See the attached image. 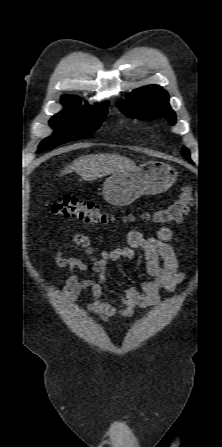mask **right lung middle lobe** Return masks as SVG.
Listing matches in <instances>:
<instances>
[{"label":"right lung middle lobe","instance_id":"obj_1","mask_svg":"<svg viewBox=\"0 0 222 447\" xmlns=\"http://www.w3.org/2000/svg\"><path fill=\"white\" fill-rule=\"evenodd\" d=\"M65 109L54 115L50 126L58 130L56 136L47 138L39 145L38 152L52 149L70 140L84 138L96 131L107 113L108 102L98 105V110L83 107L78 98L63 97Z\"/></svg>","mask_w":222,"mask_h":447}]
</instances>
